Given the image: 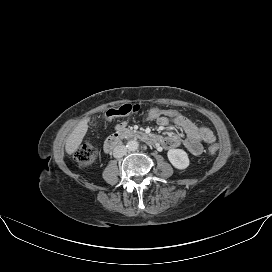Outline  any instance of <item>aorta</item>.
I'll return each mask as SVG.
<instances>
[{
  "instance_id": "1",
  "label": "aorta",
  "mask_w": 272,
  "mask_h": 272,
  "mask_svg": "<svg viewBox=\"0 0 272 272\" xmlns=\"http://www.w3.org/2000/svg\"><path fill=\"white\" fill-rule=\"evenodd\" d=\"M139 147V143L136 140H129L126 144V148L129 151H136Z\"/></svg>"
}]
</instances>
